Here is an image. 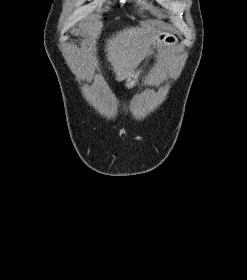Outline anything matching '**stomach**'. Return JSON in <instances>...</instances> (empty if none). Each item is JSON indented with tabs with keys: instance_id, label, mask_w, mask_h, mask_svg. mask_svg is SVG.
Listing matches in <instances>:
<instances>
[{
	"instance_id": "stomach-1",
	"label": "stomach",
	"mask_w": 247,
	"mask_h": 280,
	"mask_svg": "<svg viewBox=\"0 0 247 280\" xmlns=\"http://www.w3.org/2000/svg\"><path fill=\"white\" fill-rule=\"evenodd\" d=\"M176 44H177V39L174 36L162 32V33H158L152 38L151 48H155L156 46L173 48L175 47ZM141 73H142L141 70H138L136 72L133 71L126 78L125 85L128 89L133 88L137 84L138 80L141 77Z\"/></svg>"
}]
</instances>
